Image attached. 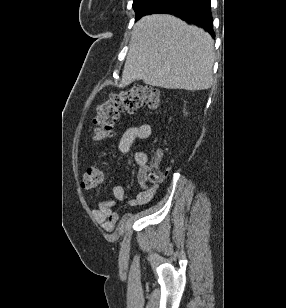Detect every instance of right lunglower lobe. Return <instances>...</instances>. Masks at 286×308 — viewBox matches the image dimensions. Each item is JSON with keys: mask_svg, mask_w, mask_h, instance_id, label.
Here are the masks:
<instances>
[{"mask_svg": "<svg viewBox=\"0 0 286 308\" xmlns=\"http://www.w3.org/2000/svg\"><path fill=\"white\" fill-rule=\"evenodd\" d=\"M152 13L174 14L184 21L206 29L214 38L210 0H170Z\"/></svg>", "mask_w": 286, "mask_h": 308, "instance_id": "right-lung-lower-lobe-1", "label": "right lung lower lobe"}]
</instances>
